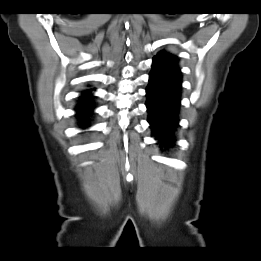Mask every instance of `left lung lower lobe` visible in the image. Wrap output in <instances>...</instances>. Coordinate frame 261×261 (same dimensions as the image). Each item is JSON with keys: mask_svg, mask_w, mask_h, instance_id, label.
<instances>
[{"mask_svg": "<svg viewBox=\"0 0 261 261\" xmlns=\"http://www.w3.org/2000/svg\"><path fill=\"white\" fill-rule=\"evenodd\" d=\"M182 75L174 64L153 59L146 88L148 122L160 147H171L179 122Z\"/></svg>", "mask_w": 261, "mask_h": 261, "instance_id": "0a47b994", "label": "left lung lower lobe"}]
</instances>
